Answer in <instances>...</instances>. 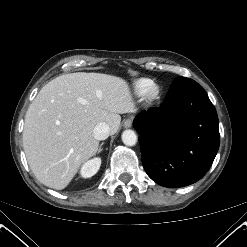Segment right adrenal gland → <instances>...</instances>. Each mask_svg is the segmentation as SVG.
<instances>
[{"label": "right adrenal gland", "instance_id": "1", "mask_svg": "<svg viewBox=\"0 0 247 247\" xmlns=\"http://www.w3.org/2000/svg\"><path fill=\"white\" fill-rule=\"evenodd\" d=\"M103 144H104V143H101V144H100V146H99V148H98V154H99L100 152H102V146H103Z\"/></svg>", "mask_w": 247, "mask_h": 247}]
</instances>
